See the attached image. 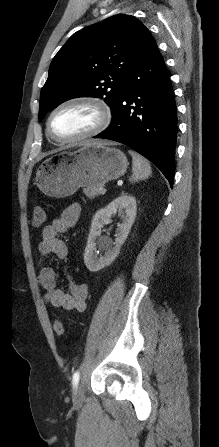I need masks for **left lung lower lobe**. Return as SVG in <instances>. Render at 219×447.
<instances>
[{
	"label": "left lung lower lobe",
	"mask_w": 219,
	"mask_h": 447,
	"mask_svg": "<svg viewBox=\"0 0 219 447\" xmlns=\"http://www.w3.org/2000/svg\"><path fill=\"white\" fill-rule=\"evenodd\" d=\"M111 125L94 138L121 142L150 160L173 186L177 111L170 76L153 37L130 69Z\"/></svg>",
	"instance_id": "left-lung-lower-lobe-1"
}]
</instances>
